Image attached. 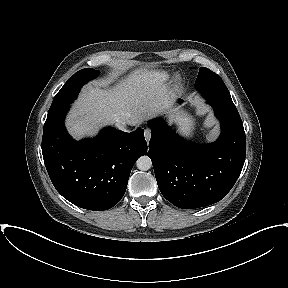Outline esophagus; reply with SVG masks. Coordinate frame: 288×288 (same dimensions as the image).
<instances>
[{
    "label": "esophagus",
    "instance_id": "obj_1",
    "mask_svg": "<svg viewBox=\"0 0 288 288\" xmlns=\"http://www.w3.org/2000/svg\"><path fill=\"white\" fill-rule=\"evenodd\" d=\"M151 134H152V132H151L150 129H146V130H145L144 135H145V139H146L147 142H149V140H150V138H151Z\"/></svg>",
    "mask_w": 288,
    "mask_h": 288
}]
</instances>
